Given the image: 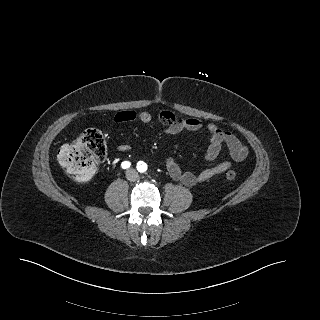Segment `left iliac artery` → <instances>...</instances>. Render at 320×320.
I'll use <instances>...</instances> for the list:
<instances>
[{
    "label": "left iliac artery",
    "instance_id": "obj_1",
    "mask_svg": "<svg viewBox=\"0 0 320 320\" xmlns=\"http://www.w3.org/2000/svg\"><path fill=\"white\" fill-rule=\"evenodd\" d=\"M137 169L139 172H145L147 170V164L143 161L137 163Z\"/></svg>",
    "mask_w": 320,
    "mask_h": 320
}]
</instances>
